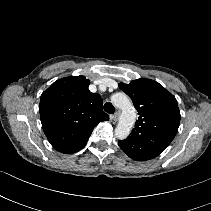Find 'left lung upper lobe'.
Wrapping results in <instances>:
<instances>
[{
    "label": "left lung upper lobe",
    "mask_w": 211,
    "mask_h": 211,
    "mask_svg": "<svg viewBox=\"0 0 211 211\" xmlns=\"http://www.w3.org/2000/svg\"><path fill=\"white\" fill-rule=\"evenodd\" d=\"M119 87L133 101L139 118L130 136L118 141L120 148L132 159L145 161L161 154L174 139L180 111L177 100L158 82L140 78Z\"/></svg>",
    "instance_id": "obj_1"
}]
</instances>
